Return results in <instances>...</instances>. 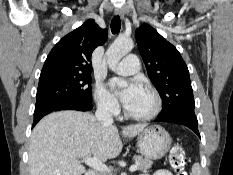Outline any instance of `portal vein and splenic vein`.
<instances>
[{"label": "portal vein and splenic vein", "mask_w": 233, "mask_h": 175, "mask_svg": "<svg viewBox=\"0 0 233 175\" xmlns=\"http://www.w3.org/2000/svg\"><path fill=\"white\" fill-rule=\"evenodd\" d=\"M83 162L97 171L110 172V168H108L105 164H103V162H101V160H99L96 157L85 158L83 159ZM137 168H138V164L136 163L131 165L129 170L130 172H134L137 170Z\"/></svg>", "instance_id": "obj_1"}]
</instances>
